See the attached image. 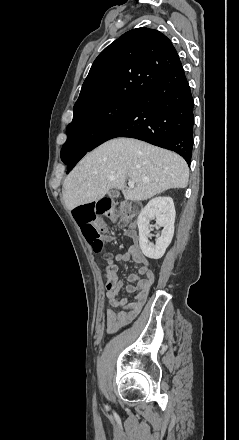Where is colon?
<instances>
[{"label": "colon", "instance_id": "colon-1", "mask_svg": "<svg viewBox=\"0 0 239 440\" xmlns=\"http://www.w3.org/2000/svg\"><path fill=\"white\" fill-rule=\"evenodd\" d=\"M140 206L133 203L113 204L109 199H102L97 203L81 205L74 209L73 216L81 228L86 241L96 252H101L104 245V236L99 220L104 217L118 224H126L139 211ZM116 265L108 258L106 273L111 277L116 272Z\"/></svg>", "mask_w": 239, "mask_h": 440}]
</instances>
